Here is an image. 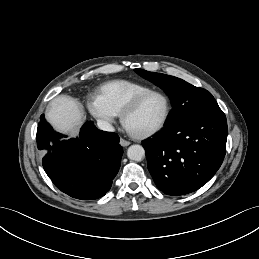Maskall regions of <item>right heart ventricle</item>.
<instances>
[{
	"mask_svg": "<svg viewBox=\"0 0 259 259\" xmlns=\"http://www.w3.org/2000/svg\"><path fill=\"white\" fill-rule=\"evenodd\" d=\"M149 90L151 88L142 83L114 80L101 86L99 97L114 115H120L136 96Z\"/></svg>",
	"mask_w": 259,
	"mask_h": 259,
	"instance_id": "obj_1",
	"label": "right heart ventricle"
}]
</instances>
